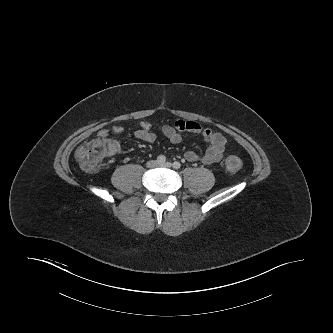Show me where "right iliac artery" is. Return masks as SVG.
Returning a JSON list of instances; mask_svg holds the SVG:
<instances>
[{
    "instance_id": "1",
    "label": "right iliac artery",
    "mask_w": 333,
    "mask_h": 333,
    "mask_svg": "<svg viewBox=\"0 0 333 333\" xmlns=\"http://www.w3.org/2000/svg\"><path fill=\"white\" fill-rule=\"evenodd\" d=\"M157 162L160 164H164L166 162V157L164 155H159L157 157Z\"/></svg>"
}]
</instances>
